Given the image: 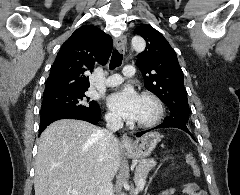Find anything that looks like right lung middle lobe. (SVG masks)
I'll list each match as a JSON object with an SVG mask.
<instances>
[{"mask_svg":"<svg viewBox=\"0 0 240 195\" xmlns=\"http://www.w3.org/2000/svg\"><path fill=\"white\" fill-rule=\"evenodd\" d=\"M87 89H71L43 95L41 117L70 111H101L95 101L86 97Z\"/></svg>","mask_w":240,"mask_h":195,"instance_id":"dd1d6c3e","label":"right lung middle lobe"}]
</instances>
